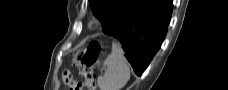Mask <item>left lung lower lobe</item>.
I'll use <instances>...</instances> for the list:
<instances>
[{
    "label": "left lung lower lobe",
    "mask_w": 228,
    "mask_h": 90,
    "mask_svg": "<svg viewBox=\"0 0 228 90\" xmlns=\"http://www.w3.org/2000/svg\"><path fill=\"white\" fill-rule=\"evenodd\" d=\"M172 7V0H132L129 9L103 30L121 42L137 75H142L160 48Z\"/></svg>",
    "instance_id": "obj_1"
}]
</instances>
